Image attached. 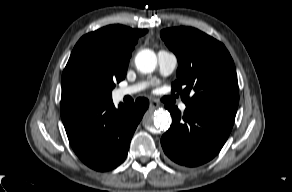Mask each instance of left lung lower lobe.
Instances as JSON below:
<instances>
[{"label":"left lung lower lobe","mask_w":292,"mask_h":192,"mask_svg":"<svg viewBox=\"0 0 292 192\" xmlns=\"http://www.w3.org/2000/svg\"><path fill=\"white\" fill-rule=\"evenodd\" d=\"M172 125L162 136L165 154L175 163L195 167L214 158L225 144L234 124L235 114L186 107L181 115L177 107L166 106Z\"/></svg>","instance_id":"1"}]
</instances>
